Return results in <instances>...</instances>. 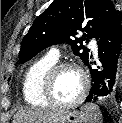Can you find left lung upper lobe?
Masks as SVG:
<instances>
[{
  "mask_svg": "<svg viewBox=\"0 0 122 123\" xmlns=\"http://www.w3.org/2000/svg\"><path fill=\"white\" fill-rule=\"evenodd\" d=\"M117 13L110 0H54L24 36L19 59L26 62L46 47L66 41L87 65L92 56L82 42L99 39ZM79 31L86 33L78 38Z\"/></svg>",
  "mask_w": 122,
  "mask_h": 123,
  "instance_id": "1",
  "label": "left lung upper lobe"
}]
</instances>
